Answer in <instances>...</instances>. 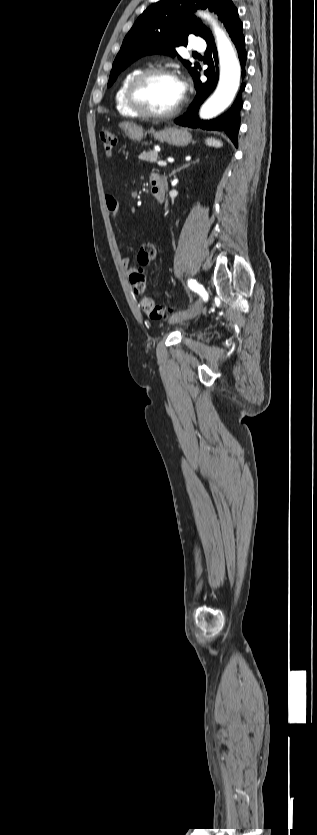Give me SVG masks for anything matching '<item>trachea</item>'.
<instances>
[{
    "label": "trachea",
    "mask_w": 317,
    "mask_h": 835,
    "mask_svg": "<svg viewBox=\"0 0 317 835\" xmlns=\"http://www.w3.org/2000/svg\"><path fill=\"white\" fill-rule=\"evenodd\" d=\"M193 54H194V55H197L198 53L194 52Z\"/></svg>",
    "instance_id": "1"
}]
</instances>
